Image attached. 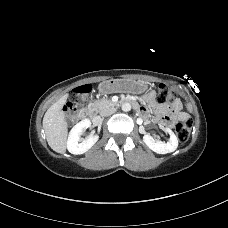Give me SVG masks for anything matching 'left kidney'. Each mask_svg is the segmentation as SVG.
<instances>
[{
  "mask_svg": "<svg viewBox=\"0 0 228 228\" xmlns=\"http://www.w3.org/2000/svg\"><path fill=\"white\" fill-rule=\"evenodd\" d=\"M165 131L170 135L169 142L165 143L154 139L150 134L143 136L144 143L154 152L158 154H167L174 152L178 147V139L170 128H165Z\"/></svg>",
  "mask_w": 228,
  "mask_h": 228,
  "instance_id": "5707ae66",
  "label": "left kidney"
}]
</instances>
